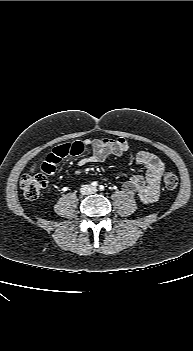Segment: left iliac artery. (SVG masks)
<instances>
[{"mask_svg":"<svg viewBox=\"0 0 193 351\" xmlns=\"http://www.w3.org/2000/svg\"><path fill=\"white\" fill-rule=\"evenodd\" d=\"M99 189H100V191H103V190H104V186H103V185H100V186H99Z\"/></svg>","mask_w":193,"mask_h":351,"instance_id":"left-iliac-artery-1","label":"left iliac artery"}]
</instances>
